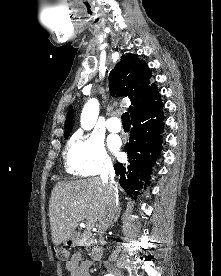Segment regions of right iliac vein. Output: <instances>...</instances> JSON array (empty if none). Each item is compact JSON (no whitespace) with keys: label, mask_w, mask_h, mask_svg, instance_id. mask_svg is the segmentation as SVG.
<instances>
[{"label":"right iliac vein","mask_w":221,"mask_h":276,"mask_svg":"<svg viewBox=\"0 0 221 276\" xmlns=\"http://www.w3.org/2000/svg\"><path fill=\"white\" fill-rule=\"evenodd\" d=\"M112 276H117V274H113Z\"/></svg>","instance_id":"obj_1"}]
</instances>
